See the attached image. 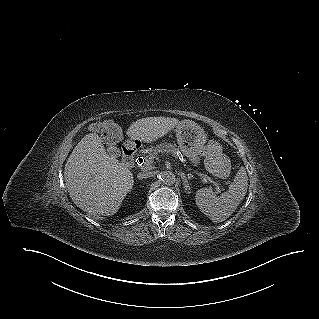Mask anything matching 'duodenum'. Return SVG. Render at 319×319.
I'll return each mask as SVG.
<instances>
[{"label":"duodenum","instance_id":"1","mask_svg":"<svg viewBox=\"0 0 319 319\" xmlns=\"http://www.w3.org/2000/svg\"><path fill=\"white\" fill-rule=\"evenodd\" d=\"M138 148L136 142H125L123 144V161L126 166L135 167L142 163V158L137 153Z\"/></svg>","mask_w":319,"mask_h":319}]
</instances>
